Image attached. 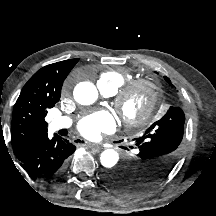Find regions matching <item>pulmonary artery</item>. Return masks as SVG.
<instances>
[{"label": "pulmonary artery", "mask_w": 216, "mask_h": 216, "mask_svg": "<svg viewBox=\"0 0 216 216\" xmlns=\"http://www.w3.org/2000/svg\"><path fill=\"white\" fill-rule=\"evenodd\" d=\"M98 88L100 89V91L104 94V95H112V93L107 90L101 83H97ZM72 124V120L69 117H55L52 119L51 123H50V127L53 130H60V129H65L70 127Z\"/></svg>", "instance_id": "e3ab8cb5"}]
</instances>
